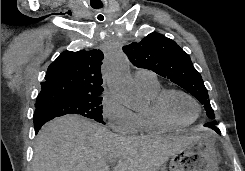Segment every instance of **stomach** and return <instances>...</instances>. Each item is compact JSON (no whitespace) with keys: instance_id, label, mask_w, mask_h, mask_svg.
<instances>
[{"instance_id":"0dacf381","label":"stomach","mask_w":245,"mask_h":171,"mask_svg":"<svg viewBox=\"0 0 245 171\" xmlns=\"http://www.w3.org/2000/svg\"><path fill=\"white\" fill-rule=\"evenodd\" d=\"M170 171H219L216 139L202 133L187 147L171 156Z\"/></svg>"}]
</instances>
